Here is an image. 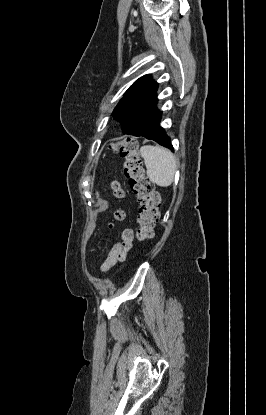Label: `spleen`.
Wrapping results in <instances>:
<instances>
[{"instance_id":"spleen-1","label":"spleen","mask_w":266,"mask_h":415,"mask_svg":"<svg viewBox=\"0 0 266 415\" xmlns=\"http://www.w3.org/2000/svg\"><path fill=\"white\" fill-rule=\"evenodd\" d=\"M147 169L148 178L160 187H168L174 180L176 159L167 149L159 146L145 145L140 149Z\"/></svg>"}]
</instances>
